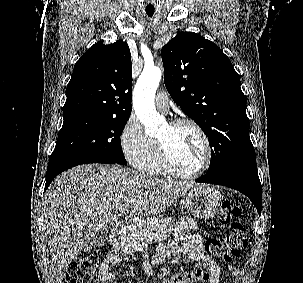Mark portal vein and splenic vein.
Segmentation results:
<instances>
[{
	"label": "portal vein and splenic vein",
	"mask_w": 303,
	"mask_h": 283,
	"mask_svg": "<svg viewBox=\"0 0 303 283\" xmlns=\"http://www.w3.org/2000/svg\"><path fill=\"white\" fill-rule=\"evenodd\" d=\"M126 210L127 208L122 209L121 213H125Z\"/></svg>",
	"instance_id": "1"
}]
</instances>
